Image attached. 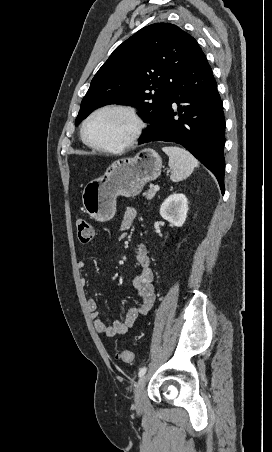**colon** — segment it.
Listing matches in <instances>:
<instances>
[{"mask_svg":"<svg viewBox=\"0 0 272 452\" xmlns=\"http://www.w3.org/2000/svg\"><path fill=\"white\" fill-rule=\"evenodd\" d=\"M77 238L81 244H89L95 237V230L90 222L79 219L76 222ZM116 358L124 363L134 362V354L129 350H122L117 353Z\"/></svg>","mask_w":272,"mask_h":452,"instance_id":"obj_1","label":"colon"}]
</instances>
